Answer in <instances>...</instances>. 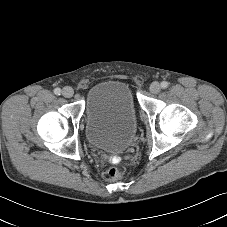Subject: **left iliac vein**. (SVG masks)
Listing matches in <instances>:
<instances>
[{
	"label": "left iliac vein",
	"instance_id": "1",
	"mask_svg": "<svg viewBox=\"0 0 227 227\" xmlns=\"http://www.w3.org/2000/svg\"><path fill=\"white\" fill-rule=\"evenodd\" d=\"M149 90L152 94H158L161 91V85L158 82H153L150 85Z\"/></svg>",
	"mask_w": 227,
	"mask_h": 227
}]
</instances>
